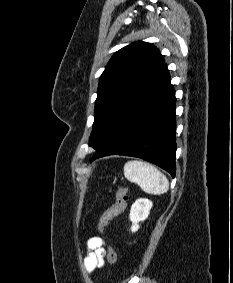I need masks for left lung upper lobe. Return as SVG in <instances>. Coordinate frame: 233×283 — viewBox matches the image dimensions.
<instances>
[{"instance_id": "5c2ea615", "label": "left lung upper lobe", "mask_w": 233, "mask_h": 283, "mask_svg": "<svg viewBox=\"0 0 233 283\" xmlns=\"http://www.w3.org/2000/svg\"><path fill=\"white\" fill-rule=\"evenodd\" d=\"M163 64L158 49L147 42L131 43L112 56L99 79L91 147L97 151L103 145Z\"/></svg>"}]
</instances>
